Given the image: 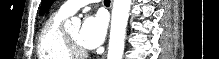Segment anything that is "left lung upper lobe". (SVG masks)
Wrapping results in <instances>:
<instances>
[{
    "instance_id": "left-lung-upper-lobe-1",
    "label": "left lung upper lobe",
    "mask_w": 219,
    "mask_h": 59,
    "mask_svg": "<svg viewBox=\"0 0 219 59\" xmlns=\"http://www.w3.org/2000/svg\"><path fill=\"white\" fill-rule=\"evenodd\" d=\"M53 2L54 0H42L40 14L42 15L43 13H45Z\"/></svg>"
}]
</instances>
